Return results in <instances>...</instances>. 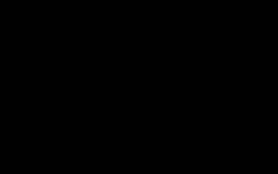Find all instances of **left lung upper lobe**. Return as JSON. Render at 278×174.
<instances>
[{
	"instance_id": "1",
	"label": "left lung upper lobe",
	"mask_w": 278,
	"mask_h": 174,
	"mask_svg": "<svg viewBox=\"0 0 278 174\" xmlns=\"http://www.w3.org/2000/svg\"><path fill=\"white\" fill-rule=\"evenodd\" d=\"M155 28L161 33L177 36L185 46V65L176 83L198 76L214 78L212 52L198 30L178 21L159 23Z\"/></svg>"
}]
</instances>
